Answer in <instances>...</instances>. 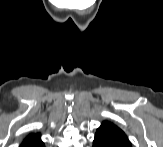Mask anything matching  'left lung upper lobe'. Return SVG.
Listing matches in <instances>:
<instances>
[{"mask_svg": "<svg viewBox=\"0 0 163 147\" xmlns=\"http://www.w3.org/2000/svg\"><path fill=\"white\" fill-rule=\"evenodd\" d=\"M100 127H110V128L119 129L116 125H114L109 121H104Z\"/></svg>", "mask_w": 163, "mask_h": 147, "instance_id": "left-lung-upper-lobe-1", "label": "left lung upper lobe"}]
</instances>
